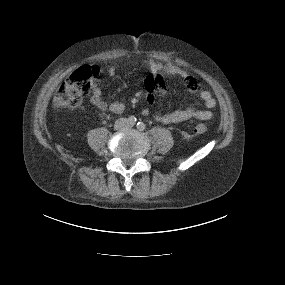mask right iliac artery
<instances>
[{
    "instance_id": "1",
    "label": "right iliac artery",
    "mask_w": 285,
    "mask_h": 285,
    "mask_svg": "<svg viewBox=\"0 0 285 285\" xmlns=\"http://www.w3.org/2000/svg\"><path fill=\"white\" fill-rule=\"evenodd\" d=\"M128 122L131 125H134L136 123V118L134 116H131L128 118Z\"/></svg>"
}]
</instances>
